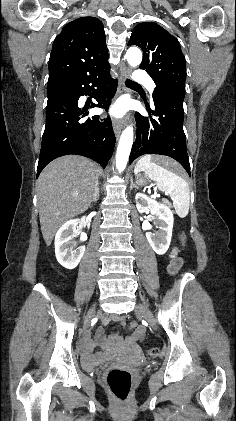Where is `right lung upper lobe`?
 I'll use <instances>...</instances> for the list:
<instances>
[{
  "label": "right lung upper lobe",
  "instance_id": "right-lung-upper-lobe-1",
  "mask_svg": "<svg viewBox=\"0 0 236 421\" xmlns=\"http://www.w3.org/2000/svg\"><path fill=\"white\" fill-rule=\"evenodd\" d=\"M102 22L80 17L68 23L56 37L50 59L48 86L109 67Z\"/></svg>",
  "mask_w": 236,
  "mask_h": 421
}]
</instances>
